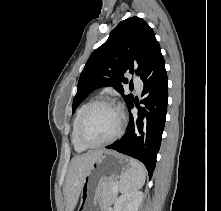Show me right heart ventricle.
<instances>
[{
	"label": "right heart ventricle",
	"instance_id": "e07e8e85",
	"mask_svg": "<svg viewBox=\"0 0 221 211\" xmlns=\"http://www.w3.org/2000/svg\"><path fill=\"white\" fill-rule=\"evenodd\" d=\"M92 102V100H87L84 102L79 109L77 110L74 120H73V125H72V142L74 145V148L81 152L87 150L89 147L85 146L79 139L78 136V128H79V122L80 118L84 112V110L88 107V105Z\"/></svg>",
	"mask_w": 221,
	"mask_h": 211
}]
</instances>
